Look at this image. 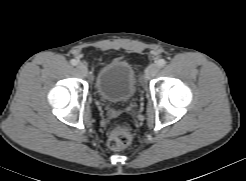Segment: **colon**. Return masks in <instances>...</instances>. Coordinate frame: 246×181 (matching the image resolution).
Wrapping results in <instances>:
<instances>
[{
  "label": "colon",
  "mask_w": 246,
  "mask_h": 181,
  "mask_svg": "<svg viewBox=\"0 0 246 181\" xmlns=\"http://www.w3.org/2000/svg\"><path fill=\"white\" fill-rule=\"evenodd\" d=\"M132 134L127 126H119L115 128L109 135L107 144L111 150H121L129 145Z\"/></svg>",
  "instance_id": "obj_1"
}]
</instances>
